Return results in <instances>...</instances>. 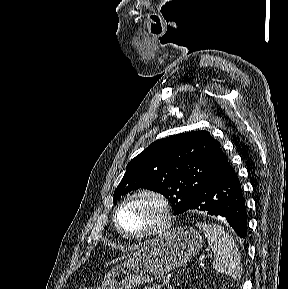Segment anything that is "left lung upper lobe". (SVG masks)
<instances>
[{"mask_svg": "<svg viewBox=\"0 0 288 289\" xmlns=\"http://www.w3.org/2000/svg\"><path fill=\"white\" fill-rule=\"evenodd\" d=\"M226 162L220 143L207 131L157 140L128 163L114 201L132 190L145 188L164 195L174 215L184 213Z\"/></svg>", "mask_w": 288, "mask_h": 289, "instance_id": "5c2ea615", "label": "left lung upper lobe"}]
</instances>
